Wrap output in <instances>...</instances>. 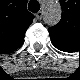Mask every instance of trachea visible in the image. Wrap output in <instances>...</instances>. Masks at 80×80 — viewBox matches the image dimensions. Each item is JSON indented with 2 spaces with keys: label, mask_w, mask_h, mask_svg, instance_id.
Listing matches in <instances>:
<instances>
[{
  "label": "trachea",
  "mask_w": 80,
  "mask_h": 80,
  "mask_svg": "<svg viewBox=\"0 0 80 80\" xmlns=\"http://www.w3.org/2000/svg\"><path fill=\"white\" fill-rule=\"evenodd\" d=\"M28 9L31 12L36 13L40 10V4L36 0H31L28 4Z\"/></svg>",
  "instance_id": "trachea-1"
}]
</instances>
